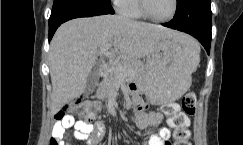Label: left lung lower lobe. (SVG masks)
Segmentation results:
<instances>
[{
	"label": "left lung lower lobe",
	"mask_w": 243,
	"mask_h": 145,
	"mask_svg": "<svg viewBox=\"0 0 243 145\" xmlns=\"http://www.w3.org/2000/svg\"><path fill=\"white\" fill-rule=\"evenodd\" d=\"M163 26L177 29L182 32H186L193 37H195L206 49L207 53H210V45H211V34H205L201 32L199 29L193 27L192 25L188 24L187 20H185L181 14L175 13L174 18Z\"/></svg>",
	"instance_id": "0a47b994"
}]
</instances>
